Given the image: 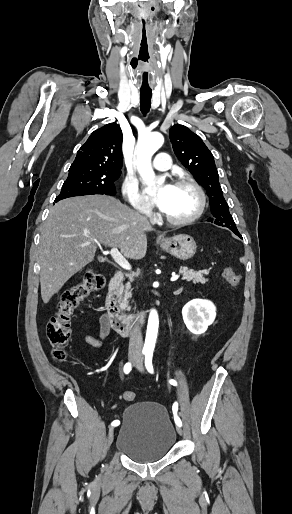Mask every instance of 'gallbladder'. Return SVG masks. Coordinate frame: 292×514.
Returning <instances> with one entry per match:
<instances>
[{"label":"gallbladder","instance_id":"obj_1","mask_svg":"<svg viewBox=\"0 0 292 514\" xmlns=\"http://www.w3.org/2000/svg\"><path fill=\"white\" fill-rule=\"evenodd\" d=\"M99 262H102V258H98Z\"/></svg>","mask_w":292,"mask_h":514}]
</instances>
